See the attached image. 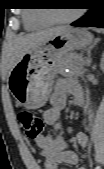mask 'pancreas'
<instances>
[{
	"mask_svg": "<svg viewBox=\"0 0 104 169\" xmlns=\"http://www.w3.org/2000/svg\"><path fill=\"white\" fill-rule=\"evenodd\" d=\"M63 67L61 68V73L65 76H81L84 73L83 69V59L78 55L67 54L64 56ZM65 68H69V72H65Z\"/></svg>",
	"mask_w": 104,
	"mask_h": 169,
	"instance_id": "cf45deb5",
	"label": "pancreas"
}]
</instances>
